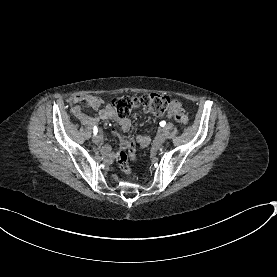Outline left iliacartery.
Instances as JSON below:
<instances>
[{
    "mask_svg": "<svg viewBox=\"0 0 277 277\" xmlns=\"http://www.w3.org/2000/svg\"><path fill=\"white\" fill-rule=\"evenodd\" d=\"M160 125H161L162 127H164V126L166 125V122H165V121H161V122H160Z\"/></svg>",
    "mask_w": 277,
    "mask_h": 277,
    "instance_id": "left-iliac-artery-1",
    "label": "left iliac artery"
}]
</instances>
